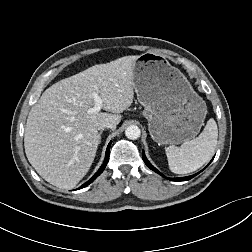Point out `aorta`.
Wrapping results in <instances>:
<instances>
[{
	"label": "aorta",
	"instance_id": "1",
	"mask_svg": "<svg viewBox=\"0 0 252 252\" xmlns=\"http://www.w3.org/2000/svg\"><path fill=\"white\" fill-rule=\"evenodd\" d=\"M125 135L128 139L130 140H136L140 137L141 135V130L138 126L136 125H130L126 128L125 130Z\"/></svg>",
	"mask_w": 252,
	"mask_h": 252
}]
</instances>
